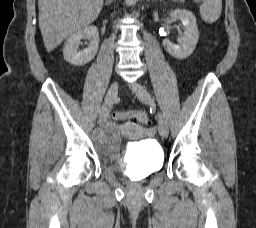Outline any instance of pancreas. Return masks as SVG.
<instances>
[{"mask_svg":"<svg viewBox=\"0 0 256 228\" xmlns=\"http://www.w3.org/2000/svg\"><path fill=\"white\" fill-rule=\"evenodd\" d=\"M174 2H185V0H172Z\"/></svg>","mask_w":256,"mask_h":228,"instance_id":"obj_1","label":"pancreas"}]
</instances>
